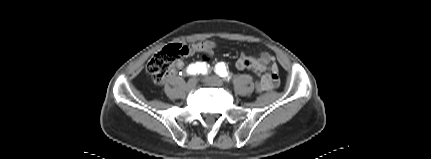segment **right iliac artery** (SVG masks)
I'll return each instance as SVG.
<instances>
[{"instance_id": "obj_1", "label": "right iliac artery", "mask_w": 431, "mask_h": 159, "mask_svg": "<svg viewBox=\"0 0 431 159\" xmlns=\"http://www.w3.org/2000/svg\"><path fill=\"white\" fill-rule=\"evenodd\" d=\"M186 72L189 75L206 74L207 66L205 63L196 62L195 64L189 65Z\"/></svg>"}]
</instances>
